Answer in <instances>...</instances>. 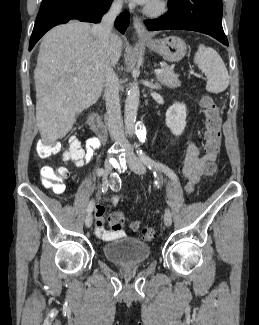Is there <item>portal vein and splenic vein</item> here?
<instances>
[{
	"label": "portal vein and splenic vein",
	"mask_w": 259,
	"mask_h": 325,
	"mask_svg": "<svg viewBox=\"0 0 259 325\" xmlns=\"http://www.w3.org/2000/svg\"><path fill=\"white\" fill-rule=\"evenodd\" d=\"M162 72H163L162 69H155V70H154V73H155V74H160V73H162ZM74 81H77V79H74Z\"/></svg>",
	"instance_id": "1"
}]
</instances>
